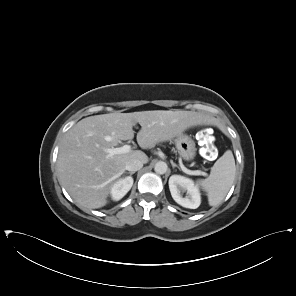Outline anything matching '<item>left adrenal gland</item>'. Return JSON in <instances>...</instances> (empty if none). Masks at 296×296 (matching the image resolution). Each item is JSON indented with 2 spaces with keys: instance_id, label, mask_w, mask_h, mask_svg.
I'll use <instances>...</instances> for the list:
<instances>
[{
  "instance_id": "1",
  "label": "left adrenal gland",
  "mask_w": 296,
  "mask_h": 296,
  "mask_svg": "<svg viewBox=\"0 0 296 296\" xmlns=\"http://www.w3.org/2000/svg\"><path fill=\"white\" fill-rule=\"evenodd\" d=\"M171 165L173 168L177 167L179 170H181V168L178 165H176L173 161L171 162Z\"/></svg>"
}]
</instances>
